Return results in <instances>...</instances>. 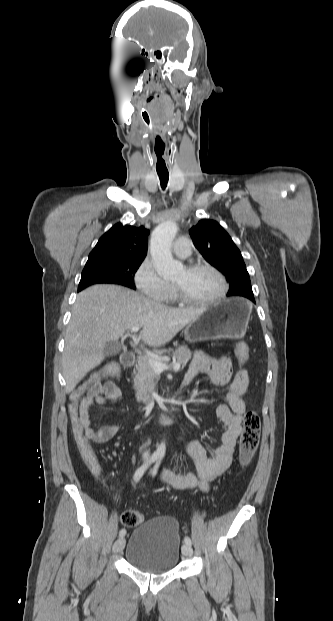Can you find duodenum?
Returning a JSON list of instances; mask_svg holds the SVG:
<instances>
[{
  "mask_svg": "<svg viewBox=\"0 0 333 621\" xmlns=\"http://www.w3.org/2000/svg\"><path fill=\"white\" fill-rule=\"evenodd\" d=\"M136 362V355L133 352L124 353L121 356V363L125 367H132ZM177 418L176 407L167 410H157L153 414L154 421L158 423L173 422Z\"/></svg>",
  "mask_w": 333,
  "mask_h": 621,
  "instance_id": "duodenum-1",
  "label": "duodenum"
}]
</instances>
